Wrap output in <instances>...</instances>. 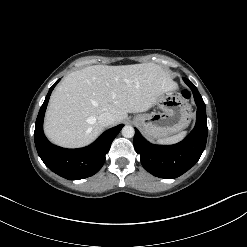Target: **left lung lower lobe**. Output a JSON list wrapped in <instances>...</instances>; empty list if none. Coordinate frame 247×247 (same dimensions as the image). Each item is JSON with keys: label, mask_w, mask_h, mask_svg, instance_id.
Segmentation results:
<instances>
[{"label": "left lung lower lobe", "mask_w": 247, "mask_h": 247, "mask_svg": "<svg viewBox=\"0 0 247 247\" xmlns=\"http://www.w3.org/2000/svg\"><path fill=\"white\" fill-rule=\"evenodd\" d=\"M183 80L192 90L197 104V120L192 132L175 145H153L135 130L134 148L140 154L143 167L160 178L173 179L188 171L199 160L206 146L205 103L196 86L186 78Z\"/></svg>", "instance_id": "1"}]
</instances>
